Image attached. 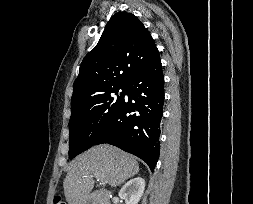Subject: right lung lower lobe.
Returning <instances> with one entry per match:
<instances>
[{
    "instance_id": "obj_1",
    "label": "right lung lower lobe",
    "mask_w": 253,
    "mask_h": 204,
    "mask_svg": "<svg viewBox=\"0 0 253 204\" xmlns=\"http://www.w3.org/2000/svg\"><path fill=\"white\" fill-rule=\"evenodd\" d=\"M124 89L128 101L123 100L94 145L117 146L144 160L153 172L160 151L158 140L164 102V78L158 50Z\"/></svg>"
}]
</instances>
